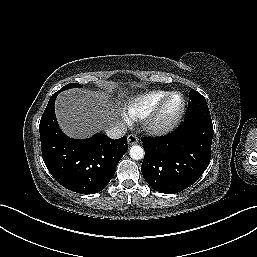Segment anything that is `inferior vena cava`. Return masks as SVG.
<instances>
[{
    "instance_id": "602c4592",
    "label": "inferior vena cava",
    "mask_w": 257,
    "mask_h": 257,
    "mask_svg": "<svg viewBox=\"0 0 257 257\" xmlns=\"http://www.w3.org/2000/svg\"><path fill=\"white\" fill-rule=\"evenodd\" d=\"M105 132L109 138L119 139L126 134L127 128L123 124L118 123L114 126L106 128Z\"/></svg>"
}]
</instances>
